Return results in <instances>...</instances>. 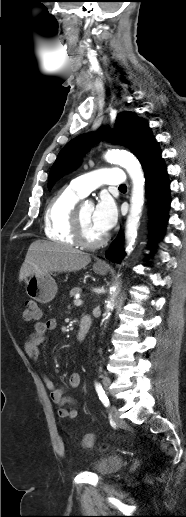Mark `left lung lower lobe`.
<instances>
[{"label": "left lung lower lobe", "mask_w": 186, "mask_h": 517, "mask_svg": "<svg viewBox=\"0 0 186 517\" xmlns=\"http://www.w3.org/2000/svg\"><path fill=\"white\" fill-rule=\"evenodd\" d=\"M139 161L142 164L146 178V188L150 194L151 233L155 240L156 237H160L163 234L165 224L168 220V209L171 202L167 170L161 158V151L157 142L139 158ZM122 244L123 239L118 236L106 252L107 258L112 262H116L122 257Z\"/></svg>", "instance_id": "obj_1"}]
</instances>
